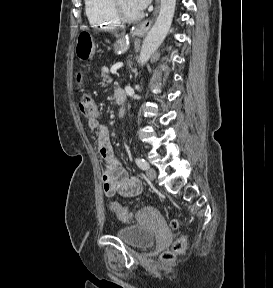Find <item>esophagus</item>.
Masks as SVG:
<instances>
[{
  "label": "esophagus",
  "instance_id": "1",
  "mask_svg": "<svg viewBox=\"0 0 273 288\" xmlns=\"http://www.w3.org/2000/svg\"><path fill=\"white\" fill-rule=\"evenodd\" d=\"M159 11V0H156V7H155V11L153 13V16L149 19H147L146 21H144L142 24H140L136 29L135 32L136 34L143 36L147 33V31L150 29V27L152 26V23L155 19V17L157 16Z\"/></svg>",
  "mask_w": 273,
  "mask_h": 288
}]
</instances>
